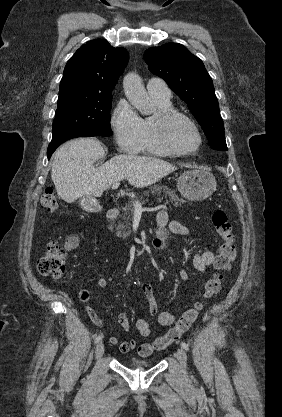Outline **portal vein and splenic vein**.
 <instances>
[{"mask_svg":"<svg viewBox=\"0 0 282 417\" xmlns=\"http://www.w3.org/2000/svg\"><path fill=\"white\" fill-rule=\"evenodd\" d=\"M120 182H114V184H112L111 188H118ZM143 202H139V200H135L134 202V206L136 211H143V206H142Z\"/></svg>","mask_w":282,"mask_h":417,"instance_id":"portal-vein-and-splenic-vein-1","label":"portal vein and splenic vein"}]
</instances>
